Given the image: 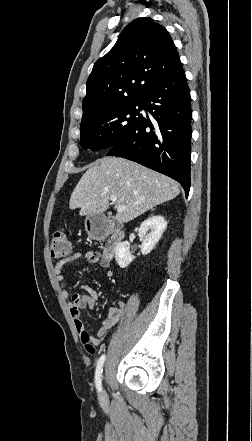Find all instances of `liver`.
Instances as JSON below:
<instances>
[{
    "instance_id": "liver-1",
    "label": "liver",
    "mask_w": 252,
    "mask_h": 441,
    "mask_svg": "<svg viewBox=\"0 0 252 441\" xmlns=\"http://www.w3.org/2000/svg\"><path fill=\"white\" fill-rule=\"evenodd\" d=\"M179 193V184L163 174L121 157H104L83 174L69 207L80 208V216L103 214L110 197L116 196L117 206L126 209L118 211L115 218L127 223Z\"/></svg>"
}]
</instances>
